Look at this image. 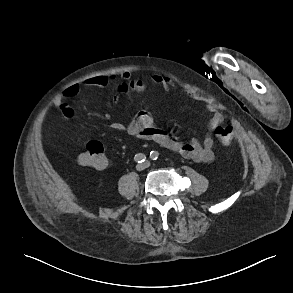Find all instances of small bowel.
<instances>
[{
	"instance_id": "c3829d8e",
	"label": "small bowel",
	"mask_w": 293,
	"mask_h": 293,
	"mask_svg": "<svg viewBox=\"0 0 293 293\" xmlns=\"http://www.w3.org/2000/svg\"><path fill=\"white\" fill-rule=\"evenodd\" d=\"M120 78L121 80L117 81L115 77L110 79L107 76H98L90 78L85 84L90 87H105L111 80H114L117 81V88L120 93H124L129 89L138 91L145 89V83L141 79H132L131 75L127 72L122 73ZM152 81L166 90H169L174 86V83L169 77L160 74H154L152 76ZM79 91L80 85L73 84L68 86L61 94L54 98V106L60 109L66 118H71L74 115V110L67 105V101L77 95ZM185 93L195 100L200 99L198 95L189 90H186ZM117 101L118 96H115L113 102ZM207 109L212 115L209 121V133L203 141H199L198 139H191L186 142L178 140L170 132L155 126L152 115L146 111L139 112L128 125L120 122H112L111 128L118 132H127L136 139L156 142L159 145L196 162L210 163L215 157L212 132L223 122L224 118L214 107L207 106Z\"/></svg>"
}]
</instances>
